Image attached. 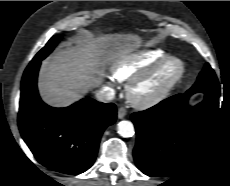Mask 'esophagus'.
Instances as JSON below:
<instances>
[{
	"label": "esophagus",
	"mask_w": 230,
	"mask_h": 186,
	"mask_svg": "<svg viewBox=\"0 0 230 186\" xmlns=\"http://www.w3.org/2000/svg\"><path fill=\"white\" fill-rule=\"evenodd\" d=\"M127 115V110L124 107H120L117 112L119 119H123Z\"/></svg>",
	"instance_id": "esophagus-1"
}]
</instances>
